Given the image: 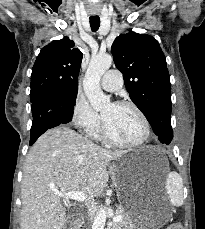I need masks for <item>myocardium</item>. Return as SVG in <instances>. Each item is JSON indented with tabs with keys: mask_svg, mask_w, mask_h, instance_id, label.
<instances>
[{
	"mask_svg": "<svg viewBox=\"0 0 205 229\" xmlns=\"http://www.w3.org/2000/svg\"><path fill=\"white\" fill-rule=\"evenodd\" d=\"M114 104L130 107L131 109H133L136 112V114L139 116L142 122V125H143V134L139 139L132 141V142H123V141L116 140L110 134L108 127H107L106 120L104 116L102 115L101 134L104 140L107 143H109L110 145H113L116 147H122V148H134V147H138L144 144L149 139L150 134H151V126L144 112L135 103L128 101V100H121Z\"/></svg>",
	"mask_w": 205,
	"mask_h": 229,
	"instance_id": "f54148a6",
	"label": "myocardium"
}]
</instances>
